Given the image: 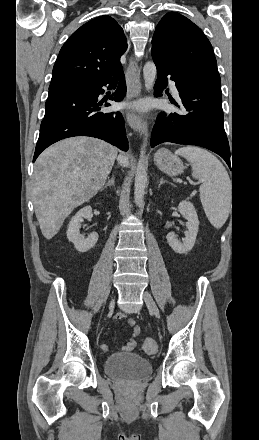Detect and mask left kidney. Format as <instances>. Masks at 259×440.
<instances>
[{
    "label": "left kidney",
    "instance_id": "left-kidney-1",
    "mask_svg": "<svg viewBox=\"0 0 259 440\" xmlns=\"http://www.w3.org/2000/svg\"><path fill=\"white\" fill-rule=\"evenodd\" d=\"M178 209L185 219H187V232L185 238L180 242L173 232L167 234L166 239L169 246L179 254L190 251L198 233L199 220L194 205L190 201L183 200L179 203Z\"/></svg>",
    "mask_w": 259,
    "mask_h": 440
}]
</instances>
